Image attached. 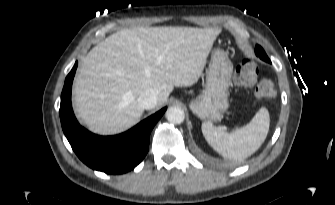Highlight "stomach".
<instances>
[{
	"instance_id": "stomach-1",
	"label": "stomach",
	"mask_w": 335,
	"mask_h": 205,
	"mask_svg": "<svg viewBox=\"0 0 335 205\" xmlns=\"http://www.w3.org/2000/svg\"><path fill=\"white\" fill-rule=\"evenodd\" d=\"M232 72L233 65L227 53L223 49L215 48L206 71L205 89L189 103L194 114L208 122L222 118L229 106L228 95Z\"/></svg>"
}]
</instances>
